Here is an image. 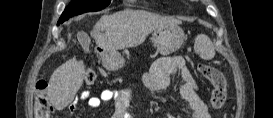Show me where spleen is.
<instances>
[{"mask_svg": "<svg viewBox=\"0 0 273 118\" xmlns=\"http://www.w3.org/2000/svg\"><path fill=\"white\" fill-rule=\"evenodd\" d=\"M194 50L204 60H211L215 56L213 43L204 34H200L195 39Z\"/></svg>", "mask_w": 273, "mask_h": 118, "instance_id": "1", "label": "spleen"}]
</instances>
